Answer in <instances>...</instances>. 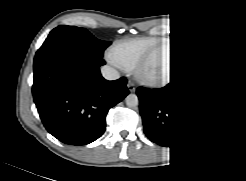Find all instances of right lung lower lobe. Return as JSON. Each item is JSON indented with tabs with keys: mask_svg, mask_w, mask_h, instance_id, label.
I'll list each match as a JSON object with an SVG mask.
<instances>
[{
	"mask_svg": "<svg viewBox=\"0 0 246 181\" xmlns=\"http://www.w3.org/2000/svg\"><path fill=\"white\" fill-rule=\"evenodd\" d=\"M100 66L68 48L34 62V102L47 131L63 143L85 145L98 139L108 110L129 93L124 77L107 81Z\"/></svg>",
	"mask_w": 246,
	"mask_h": 181,
	"instance_id": "right-lung-lower-lobe-1",
	"label": "right lung lower lobe"
}]
</instances>
